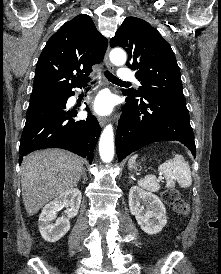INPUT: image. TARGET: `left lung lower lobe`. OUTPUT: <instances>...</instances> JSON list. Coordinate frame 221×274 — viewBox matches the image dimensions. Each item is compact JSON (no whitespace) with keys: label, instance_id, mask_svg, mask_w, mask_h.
Masks as SVG:
<instances>
[{"label":"left lung lower lobe","instance_id":"obj_1","mask_svg":"<svg viewBox=\"0 0 221 274\" xmlns=\"http://www.w3.org/2000/svg\"><path fill=\"white\" fill-rule=\"evenodd\" d=\"M116 133L119 161L154 142L176 140L196 155L185 99L127 97Z\"/></svg>","mask_w":221,"mask_h":274}]
</instances>
